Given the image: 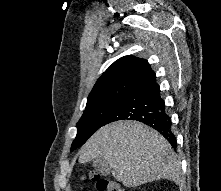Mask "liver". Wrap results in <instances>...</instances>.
Masks as SVG:
<instances>
[{
    "instance_id": "liver-1",
    "label": "liver",
    "mask_w": 221,
    "mask_h": 191,
    "mask_svg": "<svg viewBox=\"0 0 221 191\" xmlns=\"http://www.w3.org/2000/svg\"><path fill=\"white\" fill-rule=\"evenodd\" d=\"M102 159L113 177L126 187L168 179L181 181L180 162L156 130L137 121H117L101 127L82 147L80 163Z\"/></svg>"
}]
</instances>
